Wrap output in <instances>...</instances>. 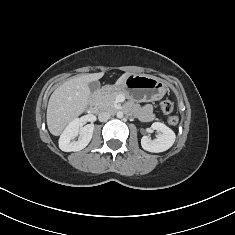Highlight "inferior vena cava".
Wrapping results in <instances>:
<instances>
[{"label": "inferior vena cava", "instance_id": "602c4592", "mask_svg": "<svg viewBox=\"0 0 235 235\" xmlns=\"http://www.w3.org/2000/svg\"><path fill=\"white\" fill-rule=\"evenodd\" d=\"M111 116V113L109 111L106 110H102L99 112L98 114V119L101 122L107 121Z\"/></svg>", "mask_w": 235, "mask_h": 235}]
</instances>
